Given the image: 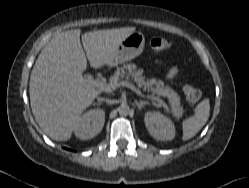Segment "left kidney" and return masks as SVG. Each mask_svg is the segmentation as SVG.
I'll return each instance as SVG.
<instances>
[{
  "label": "left kidney",
  "mask_w": 249,
  "mask_h": 188,
  "mask_svg": "<svg viewBox=\"0 0 249 188\" xmlns=\"http://www.w3.org/2000/svg\"><path fill=\"white\" fill-rule=\"evenodd\" d=\"M144 122L148 132L157 140H172L175 136L173 122L159 112H147Z\"/></svg>",
  "instance_id": "1"
}]
</instances>
